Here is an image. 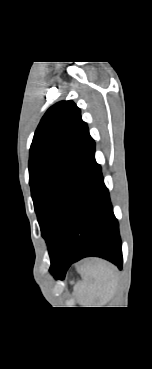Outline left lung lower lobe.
Here are the masks:
<instances>
[{"label":"left lung lower lobe","instance_id":"1","mask_svg":"<svg viewBox=\"0 0 152 369\" xmlns=\"http://www.w3.org/2000/svg\"><path fill=\"white\" fill-rule=\"evenodd\" d=\"M95 147L76 194L66 232L50 271L63 279L70 265L87 256L105 258L122 268L118 221L113 214Z\"/></svg>","mask_w":152,"mask_h":369}]
</instances>
